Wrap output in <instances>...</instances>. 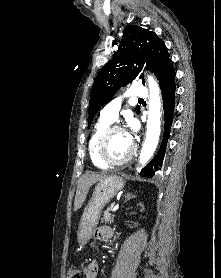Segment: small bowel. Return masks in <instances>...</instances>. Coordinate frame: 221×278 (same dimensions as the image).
<instances>
[{"instance_id":"1","label":"small bowel","mask_w":221,"mask_h":278,"mask_svg":"<svg viewBox=\"0 0 221 278\" xmlns=\"http://www.w3.org/2000/svg\"><path fill=\"white\" fill-rule=\"evenodd\" d=\"M98 236L103 239L112 237L113 231L108 227H100L97 231ZM99 266L96 261H90L84 268L86 278H96L98 274Z\"/></svg>"}]
</instances>
